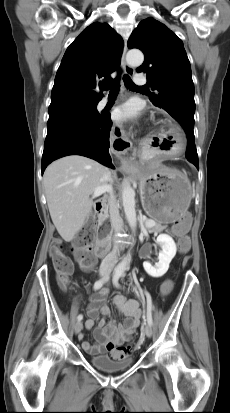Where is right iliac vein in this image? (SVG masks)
Here are the masks:
<instances>
[{
  "label": "right iliac vein",
  "mask_w": 230,
  "mask_h": 413,
  "mask_svg": "<svg viewBox=\"0 0 230 413\" xmlns=\"http://www.w3.org/2000/svg\"><path fill=\"white\" fill-rule=\"evenodd\" d=\"M82 327H83V324L81 321L76 322L74 325V332L76 334L80 333V331L82 330Z\"/></svg>",
  "instance_id": "63e3f726"
}]
</instances>
